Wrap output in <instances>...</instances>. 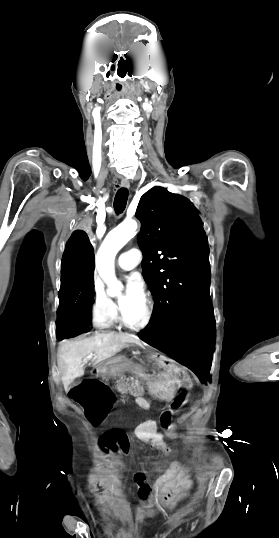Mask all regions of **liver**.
Returning a JSON list of instances; mask_svg holds the SVG:
<instances>
[{
	"label": "liver",
	"mask_w": 279,
	"mask_h": 538,
	"mask_svg": "<svg viewBox=\"0 0 279 538\" xmlns=\"http://www.w3.org/2000/svg\"><path fill=\"white\" fill-rule=\"evenodd\" d=\"M127 344H137L143 348L141 342L130 336V334H96L93 338H84V340H64L60 342L57 352V364L62 374V384L67 392L69 384L76 378L84 376L83 358L96 354L92 362L100 364L108 358H112Z\"/></svg>",
	"instance_id": "6515ba94"
}]
</instances>
